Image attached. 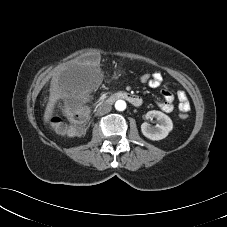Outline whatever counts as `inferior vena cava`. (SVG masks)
<instances>
[{
    "mask_svg": "<svg viewBox=\"0 0 227 227\" xmlns=\"http://www.w3.org/2000/svg\"><path fill=\"white\" fill-rule=\"evenodd\" d=\"M111 110H112V106L110 104L103 103L98 107L96 114L98 116H102V115L109 113Z\"/></svg>",
    "mask_w": 227,
    "mask_h": 227,
    "instance_id": "inferior-vena-cava-1",
    "label": "inferior vena cava"
}]
</instances>
